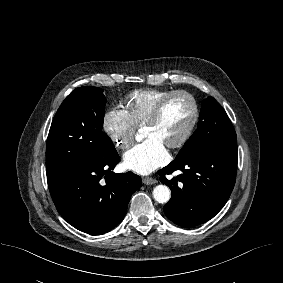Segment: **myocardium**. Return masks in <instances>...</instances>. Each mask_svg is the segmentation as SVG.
<instances>
[{
	"instance_id": "obj_1",
	"label": "myocardium",
	"mask_w": 283,
	"mask_h": 283,
	"mask_svg": "<svg viewBox=\"0 0 283 283\" xmlns=\"http://www.w3.org/2000/svg\"><path fill=\"white\" fill-rule=\"evenodd\" d=\"M177 96L185 97L191 102L193 113H192L191 121H190L187 129L183 133V135L177 141H175L173 143H169V144L166 145L167 147L173 148V149L180 148V147L184 146L189 141V139L193 135V133L196 129V126L199 122L200 107H199V103H198L197 99L195 98V96L193 94H191L190 92H188L186 90H175V91L170 92L169 94H167L166 96H164L162 99H160L158 101V103L154 107L153 111L151 112L150 116L148 117V119L146 120V122L143 125V127L155 125L159 121V119L161 118V115H162L163 110L166 107V105L173 98H175Z\"/></svg>"
}]
</instances>
